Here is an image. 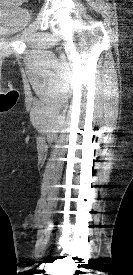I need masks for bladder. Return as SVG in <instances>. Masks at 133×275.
Segmentation results:
<instances>
[{
  "mask_svg": "<svg viewBox=\"0 0 133 275\" xmlns=\"http://www.w3.org/2000/svg\"><path fill=\"white\" fill-rule=\"evenodd\" d=\"M16 1L0 0V31L19 32L30 22V11L17 6Z\"/></svg>",
  "mask_w": 133,
  "mask_h": 275,
  "instance_id": "31cf9c89",
  "label": "bladder"
}]
</instances>
